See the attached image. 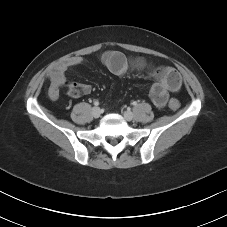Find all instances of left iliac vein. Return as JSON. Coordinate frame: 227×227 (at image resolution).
Wrapping results in <instances>:
<instances>
[{
  "label": "left iliac vein",
  "instance_id": "left-iliac-vein-1",
  "mask_svg": "<svg viewBox=\"0 0 227 227\" xmlns=\"http://www.w3.org/2000/svg\"><path fill=\"white\" fill-rule=\"evenodd\" d=\"M123 116H124V118H125L127 121H131V120H133V118H134V114H133L131 111H129V110L125 111V112L123 113Z\"/></svg>",
  "mask_w": 227,
  "mask_h": 227
}]
</instances>
